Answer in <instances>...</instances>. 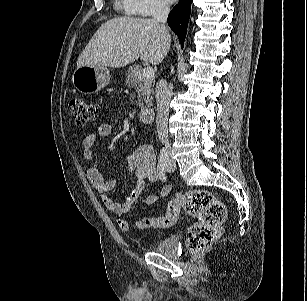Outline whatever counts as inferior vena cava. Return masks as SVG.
<instances>
[{
  "instance_id": "obj_1",
  "label": "inferior vena cava",
  "mask_w": 307,
  "mask_h": 301,
  "mask_svg": "<svg viewBox=\"0 0 307 301\" xmlns=\"http://www.w3.org/2000/svg\"><path fill=\"white\" fill-rule=\"evenodd\" d=\"M170 12V7L167 3L161 2L157 5L154 19L161 24L163 33L166 37H170L169 31L165 26L167 16ZM172 95L171 89L168 87L165 80L161 79L156 84V102H157V116L156 128L159 140L165 146L166 151L171 150L168 139V116H169V103Z\"/></svg>"
}]
</instances>
